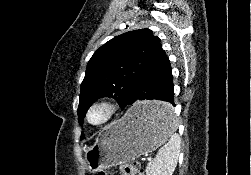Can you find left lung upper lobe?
<instances>
[{"mask_svg": "<svg viewBox=\"0 0 251 175\" xmlns=\"http://www.w3.org/2000/svg\"><path fill=\"white\" fill-rule=\"evenodd\" d=\"M165 54L150 29L118 35L101 46L87 64L80 89L78 120L94 101L110 96L123 105L140 80ZM81 138H84L82 133Z\"/></svg>", "mask_w": 251, "mask_h": 175, "instance_id": "5c2ea615", "label": "left lung upper lobe"}]
</instances>
